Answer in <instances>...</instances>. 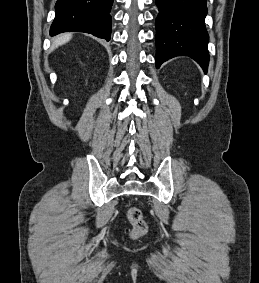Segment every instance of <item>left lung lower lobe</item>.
Wrapping results in <instances>:
<instances>
[{
	"mask_svg": "<svg viewBox=\"0 0 259 283\" xmlns=\"http://www.w3.org/2000/svg\"><path fill=\"white\" fill-rule=\"evenodd\" d=\"M156 67L179 55L193 58L206 72L209 63L205 27L206 0H156Z\"/></svg>",
	"mask_w": 259,
	"mask_h": 283,
	"instance_id": "left-lung-lower-lobe-1",
	"label": "left lung lower lobe"
}]
</instances>
